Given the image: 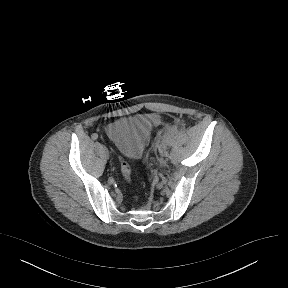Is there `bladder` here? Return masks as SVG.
I'll use <instances>...</instances> for the list:
<instances>
[{"instance_id":"obj_1","label":"bladder","mask_w":288,"mask_h":288,"mask_svg":"<svg viewBox=\"0 0 288 288\" xmlns=\"http://www.w3.org/2000/svg\"><path fill=\"white\" fill-rule=\"evenodd\" d=\"M153 129L152 119L145 115H136L111 124L107 136L130 158L141 155Z\"/></svg>"}]
</instances>
